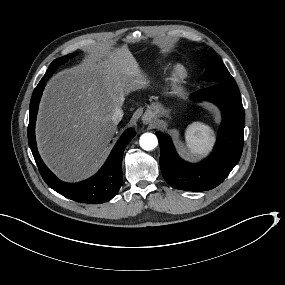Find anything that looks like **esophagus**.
Wrapping results in <instances>:
<instances>
[{
  "label": "esophagus",
  "mask_w": 285,
  "mask_h": 285,
  "mask_svg": "<svg viewBox=\"0 0 285 285\" xmlns=\"http://www.w3.org/2000/svg\"><path fill=\"white\" fill-rule=\"evenodd\" d=\"M144 121H145L147 124L150 123L151 126H154V124H155V123L152 121V117H150V118H144Z\"/></svg>",
  "instance_id": "obj_1"
}]
</instances>
